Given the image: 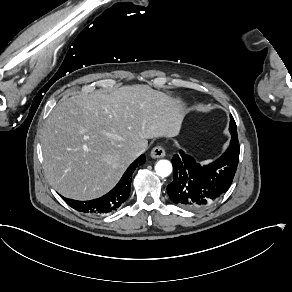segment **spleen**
<instances>
[{"label":"spleen","mask_w":292,"mask_h":292,"mask_svg":"<svg viewBox=\"0 0 292 292\" xmlns=\"http://www.w3.org/2000/svg\"><path fill=\"white\" fill-rule=\"evenodd\" d=\"M211 162V160H205V161H203V162H201V164H208V163H210Z\"/></svg>","instance_id":"obj_1"}]
</instances>
